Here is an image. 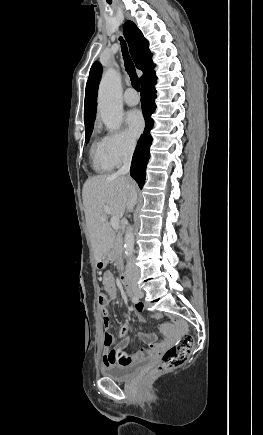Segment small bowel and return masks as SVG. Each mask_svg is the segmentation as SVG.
<instances>
[{"instance_id":"c3829d8e","label":"small bowel","mask_w":263,"mask_h":435,"mask_svg":"<svg viewBox=\"0 0 263 435\" xmlns=\"http://www.w3.org/2000/svg\"><path fill=\"white\" fill-rule=\"evenodd\" d=\"M103 286L107 294L105 295L103 302L100 303L102 306L103 326L104 328H110V314L107 306L117 295L114 276L111 272H106L104 274ZM143 312V305L141 303L137 304L135 306V317L137 321L141 323L144 322ZM119 336L121 337V341L113 348V350H104L103 348V363L105 366L126 365L140 361L148 356H157L165 347L174 341V337L164 341H159L155 333H142L140 338L148 345V347H141L133 353H128L125 351V348L128 346L130 338L128 337V327L126 325L120 327Z\"/></svg>"}]
</instances>
